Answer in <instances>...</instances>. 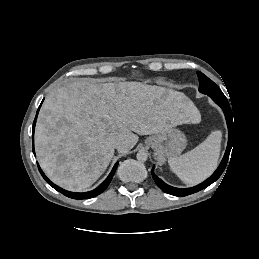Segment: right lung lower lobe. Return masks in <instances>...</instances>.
Wrapping results in <instances>:
<instances>
[{
	"label": "right lung lower lobe",
	"instance_id": "right-lung-lower-lobe-1",
	"mask_svg": "<svg viewBox=\"0 0 259 259\" xmlns=\"http://www.w3.org/2000/svg\"><path fill=\"white\" fill-rule=\"evenodd\" d=\"M41 106V105H40ZM39 111V109H38ZM38 111H37V114H38ZM37 114H36V117H35V120H34V123H33V134H32V140L34 141V128H35V123H36V119H37ZM33 153L35 154L34 152V149H33ZM117 166H118V162L114 165L112 171L110 172L109 176L106 178V180L100 184L96 189L92 190V191H89V192H85V193H74V192H69V191H66L60 187H58L57 185L53 184L46 176L45 174L43 173V171L41 170V168L39 167L38 165V169L42 175V177L46 180V182L51 185L54 189H56L57 191H59L60 193L64 194L65 196L67 197H70V198H73V199H89V198H93L99 194H101L106 188L107 186L109 185L110 181L112 180L113 178V175L117 169Z\"/></svg>",
	"mask_w": 259,
	"mask_h": 259
}]
</instances>
